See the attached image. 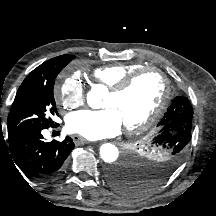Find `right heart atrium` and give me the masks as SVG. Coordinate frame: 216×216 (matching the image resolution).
I'll return each mask as SVG.
<instances>
[{"mask_svg": "<svg viewBox=\"0 0 216 216\" xmlns=\"http://www.w3.org/2000/svg\"><path fill=\"white\" fill-rule=\"evenodd\" d=\"M55 100L65 108L73 109L84 103L85 86L76 76H69L62 80L54 93Z\"/></svg>", "mask_w": 216, "mask_h": 216, "instance_id": "obj_1", "label": "right heart atrium"}]
</instances>
